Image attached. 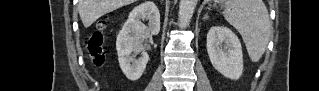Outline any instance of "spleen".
I'll use <instances>...</instances> for the list:
<instances>
[{"label":"spleen","mask_w":319,"mask_h":91,"mask_svg":"<svg viewBox=\"0 0 319 91\" xmlns=\"http://www.w3.org/2000/svg\"><path fill=\"white\" fill-rule=\"evenodd\" d=\"M223 7L227 22L241 34L252 62L264 54L271 33L268 10L262 0H227Z\"/></svg>","instance_id":"spleen-1"}]
</instances>
